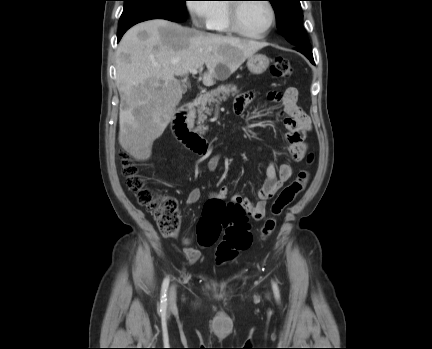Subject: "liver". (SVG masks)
Wrapping results in <instances>:
<instances>
[{"mask_svg":"<svg viewBox=\"0 0 432 349\" xmlns=\"http://www.w3.org/2000/svg\"><path fill=\"white\" fill-rule=\"evenodd\" d=\"M265 42L207 33L154 19L130 28L116 51V83L120 94L119 143L137 160L151 155L153 142L172 120L182 98L175 76L205 64L203 84L212 86L222 65L228 75Z\"/></svg>","mask_w":432,"mask_h":349,"instance_id":"6515ba94","label":"liver"}]
</instances>
